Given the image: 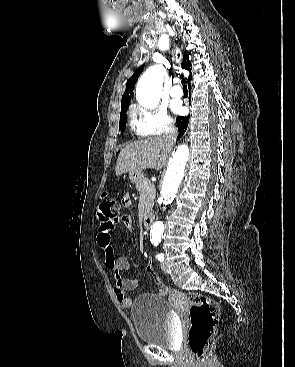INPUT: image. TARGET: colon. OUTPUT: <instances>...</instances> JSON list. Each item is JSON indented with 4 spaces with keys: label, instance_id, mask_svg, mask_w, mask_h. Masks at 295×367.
<instances>
[{
    "label": "colon",
    "instance_id": "obj_1",
    "mask_svg": "<svg viewBox=\"0 0 295 367\" xmlns=\"http://www.w3.org/2000/svg\"><path fill=\"white\" fill-rule=\"evenodd\" d=\"M117 204L106 194L103 195L98 212L100 222L116 218ZM154 266L148 265L147 272L161 286L162 294H172L185 298L190 303L191 327L188 333V346L197 358L204 357L206 346L216 332L219 305L212 298L196 292H178L166 286L156 273Z\"/></svg>",
    "mask_w": 295,
    "mask_h": 367
}]
</instances>
